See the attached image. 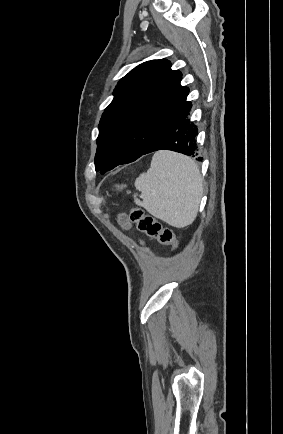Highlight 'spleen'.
<instances>
[{
    "instance_id": "3e777b00",
    "label": "spleen",
    "mask_w": 283,
    "mask_h": 434,
    "mask_svg": "<svg viewBox=\"0 0 283 434\" xmlns=\"http://www.w3.org/2000/svg\"><path fill=\"white\" fill-rule=\"evenodd\" d=\"M142 201L137 205L156 218L177 228L193 223L202 196V177L190 157L159 151L154 154L150 169L135 181Z\"/></svg>"
}]
</instances>
